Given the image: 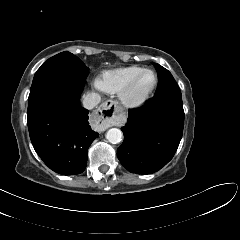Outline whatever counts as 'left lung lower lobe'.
Returning <instances> with one entry per match:
<instances>
[{
	"label": "left lung lower lobe",
	"instance_id": "0a47b994",
	"mask_svg": "<svg viewBox=\"0 0 240 240\" xmlns=\"http://www.w3.org/2000/svg\"><path fill=\"white\" fill-rule=\"evenodd\" d=\"M124 141L117 157L131 173L151 174L174 156L182 138L184 110L181 94L154 96L128 111Z\"/></svg>",
	"mask_w": 240,
	"mask_h": 240
}]
</instances>
